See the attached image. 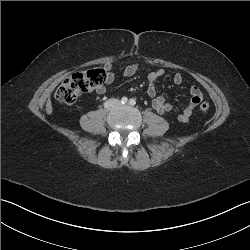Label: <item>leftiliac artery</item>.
<instances>
[{
	"label": "left iliac artery",
	"instance_id": "left-iliac-artery-1",
	"mask_svg": "<svg viewBox=\"0 0 250 250\" xmlns=\"http://www.w3.org/2000/svg\"><path fill=\"white\" fill-rule=\"evenodd\" d=\"M129 104H130V105H135V104H136L135 99H130V100H129Z\"/></svg>",
	"mask_w": 250,
	"mask_h": 250
}]
</instances>
